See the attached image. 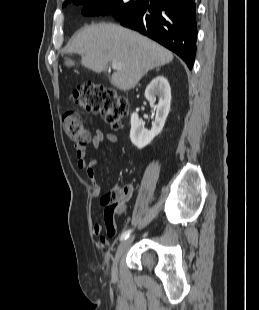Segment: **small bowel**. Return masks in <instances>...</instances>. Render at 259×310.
Returning <instances> with one entry per match:
<instances>
[{
  "mask_svg": "<svg viewBox=\"0 0 259 310\" xmlns=\"http://www.w3.org/2000/svg\"><path fill=\"white\" fill-rule=\"evenodd\" d=\"M105 140L115 143L117 141V137L112 134H105L101 130H97L91 138V143L94 148H98ZM74 149L76 154L77 166L85 171L86 176L91 181L93 196L94 197L99 196L101 193V187L96 181V172H95L96 160L87 158L86 147L76 145ZM132 192H133L132 186L127 185L125 187L126 202L130 199ZM114 213L115 211H107L106 209L104 210V222L107 230V235L109 237H115L117 235ZM102 229L103 226L101 223H95L93 225V232L95 235L99 236L100 244L107 246L109 244V241L106 237L101 236Z\"/></svg>",
  "mask_w": 259,
  "mask_h": 310,
  "instance_id": "1",
  "label": "small bowel"
}]
</instances>
